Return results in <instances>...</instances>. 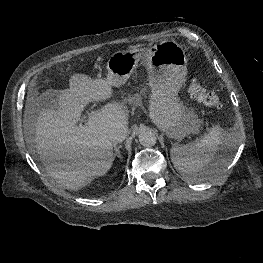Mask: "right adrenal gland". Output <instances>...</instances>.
I'll return each mask as SVG.
<instances>
[{
  "mask_svg": "<svg viewBox=\"0 0 263 263\" xmlns=\"http://www.w3.org/2000/svg\"><path fill=\"white\" fill-rule=\"evenodd\" d=\"M122 147V145H118L116 146V144L113 145V150H114V156L113 159H115L116 157L121 159V154H120V148Z\"/></svg>",
  "mask_w": 263,
  "mask_h": 263,
  "instance_id": "obj_1",
  "label": "right adrenal gland"
}]
</instances>
